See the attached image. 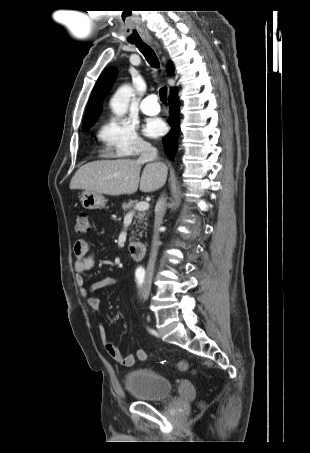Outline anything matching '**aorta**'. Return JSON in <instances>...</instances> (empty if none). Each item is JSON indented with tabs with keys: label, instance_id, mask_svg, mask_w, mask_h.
<instances>
[{
	"label": "aorta",
	"instance_id": "762f6f07",
	"mask_svg": "<svg viewBox=\"0 0 310 453\" xmlns=\"http://www.w3.org/2000/svg\"><path fill=\"white\" fill-rule=\"evenodd\" d=\"M133 88L129 85L121 86L111 99L110 106L114 114L123 116L128 108Z\"/></svg>",
	"mask_w": 310,
	"mask_h": 453
}]
</instances>
